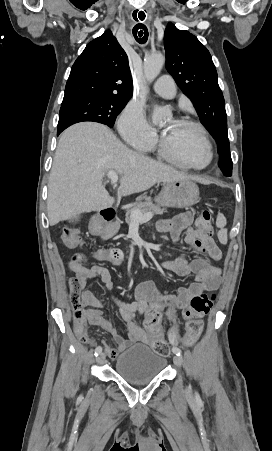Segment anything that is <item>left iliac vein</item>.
<instances>
[{"label":"left iliac vein","mask_w":272,"mask_h":451,"mask_svg":"<svg viewBox=\"0 0 272 451\" xmlns=\"http://www.w3.org/2000/svg\"><path fill=\"white\" fill-rule=\"evenodd\" d=\"M174 363H175V365H176L178 368H181V366H182V361H181L180 356H175V357H174Z\"/></svg>","instance_id":"obj_1"}]
</instances>
